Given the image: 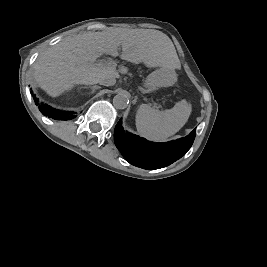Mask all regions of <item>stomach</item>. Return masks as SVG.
Wrapping results in <instances>:
<instances>
[{
	"instance_id": "stomach-1",
	"label": "stomach",
	"mask_w": 267,
	"mask_h": 267,
	"mask_svg": "<svg viewBox=\"0 0 267 267\" xmlns=\"http://www.w3.org/2000/svg\"><path fill=\"white\" fill-rule=\"evenodd\" d=\"M176 81V74L173 70L160 68L153 71L144 81V86L150 90H156L160 87H168Z\"/></svg>"
}]
</instances>
